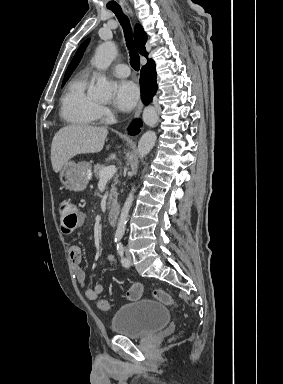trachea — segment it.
<instances>
[{
  "instance_id": "trachea-1",
  "label": "trachea",
  "mask_w": 283,
  "mask_h": 384,
  "mask_svg": "<svg viewBox=\"0 0 283 384\" xmlns=\"http://www.w3.org/2000/svg\"><path fill=\"white\" fill-rule=\"evenodd\" d=\"M112 10L116 17L118 18L123 31H124V36L126 40V45L129 50L130 54V65L134 68V70H139L140 69V59H139V54L134 48V43H133V37H132V29L130 26V22L128 17L123 13L122 9L120 7L118 8H110Z\"/></svg>"
}]
</instances>
